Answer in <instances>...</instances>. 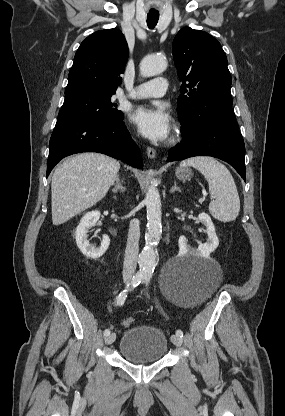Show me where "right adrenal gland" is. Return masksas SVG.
<instances>
[{
    "label": "right adrenal gland",
    "mask_w": 285,
    "mask_h": 416,
    "mask_svg": "<svg viewBox=\"0 0 285 416\" xmlns=\"http://www.w3.org/2000/svg\"><path fill=\"white\" fill-rule=\"evenodd\" d=\"M118 190H121V192H125V190H126V188H124V186H123V180H120L119 174H117V176H116V186H114L112 192H114V194H116V192H118Z\"/></svg>",
    "instance_id": "1"
}]
</instances>
